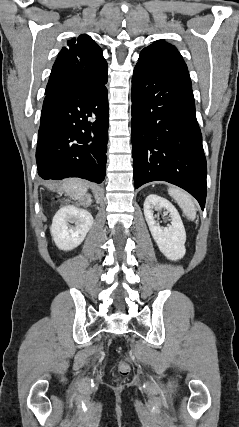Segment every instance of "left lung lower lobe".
Here are the masks:
<instances>
[{"label": "left lung lower lobe", "instance_id": "1", "mask_svg": "<svg viewBox=\"0 0 239 427\" xmlns=\"http://www.w3.org/2000/svg\"><path fill=\"white\" fill-rule=\"evenodd\" d=\"M134 185L175 184L206 200V158L192 86L137 63L132 78Z\"/></svg>", "mask_w": 239, "mask_h": 427}]
</instances>
